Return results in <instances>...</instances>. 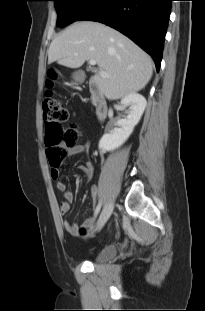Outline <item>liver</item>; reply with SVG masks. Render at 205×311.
Returning <instances> with one entry per match:
<instances>
[{
    "label": "liver",
    "mask_w": 205,
    "mask_h": 311,
    "mask_svg": "<svg viewBox=\"0 0 205 311\" xmlns=\"http://www.w3.org/2000/svg\"><path fill=\"white\" fill-rule=\"evenodd\" d=\"M95 60L100 73L94 82L107 99L123 98L143 89L153 73L151 57L122 33L94 21H81L67 27L50 44L48 63L57 61L79 68Z\"/></svg>",
    "instance_id": "1"
}]
</instances>
